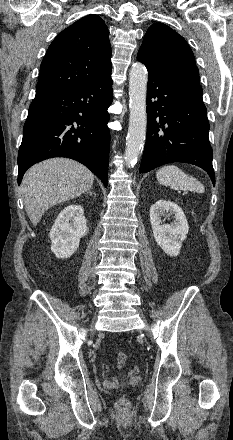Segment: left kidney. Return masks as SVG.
Wrapping results in <instances>:
<instances>
[{
    "label": "left kidney",
    "instance_id": "1",
    "mask_svg": "<svg viewBox=\"0 0 233 440\" xmlns=\"http://www.w3.org/2000/svg\"><path fill=\"white\" fill-rule=\"evenodd\" d=\"M166 212L174 214L173 223L162 224L161 217ZM150 222L156 243L166 254L177 256L189 231L183 210L172 201L159 200L150 208Z\"/></svg>",
    "mask_w": 233,
    "mask_h": 440
}]
</instances>
